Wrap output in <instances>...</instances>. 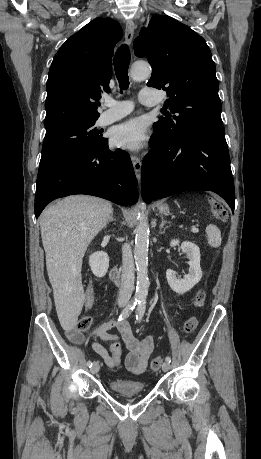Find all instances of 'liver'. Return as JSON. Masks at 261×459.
Returning <instances> with one entry per match:
<instances>
[{"instance_id":"obj_1","label":"liver","mask_w":261,"mask_h":459,"mask_svg":"<svg viewBox=\"0 0 261 459\" xmlns=\"http://www.w3.org/2000/svg\"><path fill=\"white\" fill-rule=\"evenodd\" d=\"M112 213L110 202L88 195L68 196L42 213L40 229L46 268L57 315L65 330L76 326L84 302V254Z\"/></svg>"}]
</instances>
